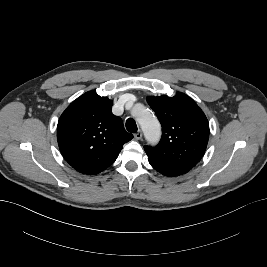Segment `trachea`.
Here are the masks:
<instances>
[{"label":"trachea","instance_id":"1","mask_svg":"<svg viewBox=\"0 0 267 267\" xmlns=\"http://www.w3.org/2000/svg\"><path fill=\"white\" fill-rule=\"evenodd\" d=\"M126 129L131 132V133H135L137 132L138 128L136 125V122L134 119L132 118H128L126 121Z\"/></svg>","mask_w":267,"mask_h":267}]
</instances>
